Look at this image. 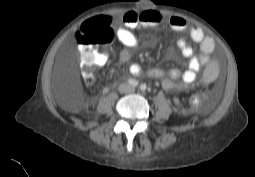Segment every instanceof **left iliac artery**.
<instances>
[{
  "label": "left iliac artery",
  "mask_w": 255,
  "mask_h": 177,
  "mask_svg": "<svg viewBox=\"0 0 255 177\" xmlns=\"http://www.w3.org/2000/svg\"><path fill=\"white\" fill-rule=\"evenodd\" d=\"M146 88H147V87H146V84H141V85H140V89H141L142 91H145Z\"/></svg>",
  "instance_id": "44dca946"
}]
</instances>
